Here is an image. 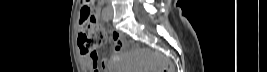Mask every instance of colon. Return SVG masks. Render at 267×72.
<instances>
[{"label": "colon", "mask_w": 267, "mask_h": 72, "mask_svg": "<svg viewBox=\"0 0 267 72\" xmlns=\"http://www.w3.org/2000/svg\"><path fill=\"white\" fill-rule=\"evenodd\" d=\"M101 1L96 0H83L80 12V23L82 33L78 38V45L83 54H92L95 52V47L101 45L105 38L106 33L100 27L97 18V4ZM173 66L170 62L163 63L162 72H172Z\"/></svg>", "instance_id": "obj_1"}]
</instances>
